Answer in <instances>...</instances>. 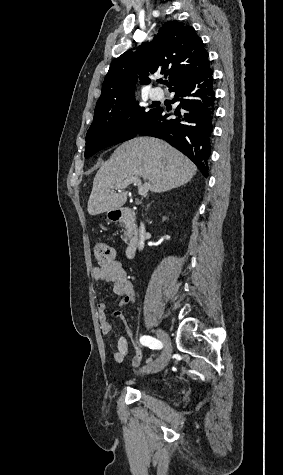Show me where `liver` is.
Instances as JSON below:
<instances>
[{
  "mask_svg": "<svg viewBox=\"0 0 283 475\" xmlns=\"http://www.w3.org/2000/svg\"><path fill=\"white\" fill-rule=\"evenodd\" d=\"M197 168L187 156L158 138H133L121 144L106 164L98 170L88 200V214L119 210L127 192H111L126 178L141 176L149 180L151 192H167L184 186L195 176Z\"/></svg>",
  "mask_w": 283,
  "mask_h": 475,
  "instance_id": "obj_1",
  "label": "liver"
}]
</instances>
